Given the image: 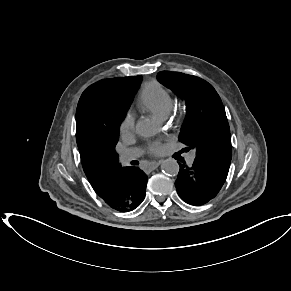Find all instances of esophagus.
<instances>
[{
    "instance_id": "esophagus-1",
    "label": "esophagus",
    "mask_w": 291,
    "mask_h": 291,
    "mask_svg": "<svg viewBox=\"0 0 291 291\" xmlns=\"http://www.w3.org/2000/svg\"><path fill=\"white\" fill-rule=\"evenodd\" d=\"M162 161H153V162H150L148 167L149 169L153 170L155 168H157L160 164H161Z\"/></svg>"
}]
</instances>
